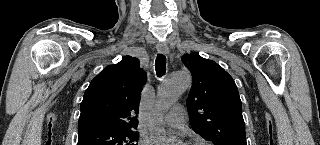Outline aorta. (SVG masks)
<instances>
[{
    "instance_id": "obj_1",
    "label": "aorta",
    "mask_w": 320,
    "mask_h": 145,
    "mask_svg": "<svg viewBox=\"0 0 320 145\" xmlns=\"http://www.w3.org/2000/svg\"><path fill=\"white\" fill-rule=\"evenodd\" d=\"M191 85V77L186 72H175L163 81L156 97L154 112L156 115L166 113L179 99L180 95ZM152 137L156 145H166L168 135L159 125L152 126Z\"/></svg>"
}]
</instances>
